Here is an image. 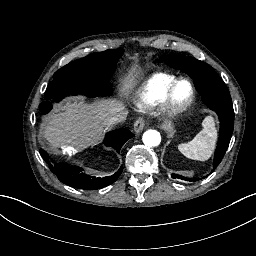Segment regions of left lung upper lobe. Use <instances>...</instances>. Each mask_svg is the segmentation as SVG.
<instances>
[{
	"instance_id": "obj_1",
	"label": "left lung upper lobe",
	"mask_w": 256,
	"mask_h": 256,
	"mask_svg": "<svg viewBox=\"0 0 256 256\" xmlns=\"http://www.w3.org/2000/svg\"><path fill=\"white\" fill-rule=\"evenodd\" d=\"M160 61L186 72L193 78L197 91L202 95L203 102L210 109L215 110L219 116L220 135L212 173L223 159L233 132L234 111L229 91L212 67L193 57L170 54L161 57Z\"/></svg>"
}]
</instances>
